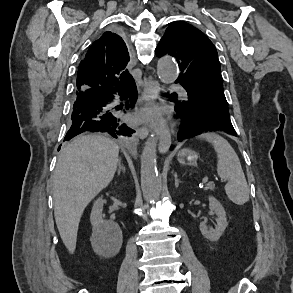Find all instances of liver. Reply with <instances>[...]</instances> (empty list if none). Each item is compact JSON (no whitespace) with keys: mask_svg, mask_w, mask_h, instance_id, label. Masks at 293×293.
Returning a JSON list of instances; mask_svg holds the SVG:
<instances>
[{"mask_svg":"<svg viewBox=\"0 0 293 293\" xmlns=\"http://www.w3.org/2000/svg\"><path fill=\"white\" fill-rule=\"evenodd\" d=\"M119 146L96 134L82 135L62 150L53 176L54 216L70 253L76 248L80 218L87 205L112 181Z\"/></svg>","mask_w":293,"mask_h":293,"instance_id":"obj_1","label":"liver"}]
</instances>
